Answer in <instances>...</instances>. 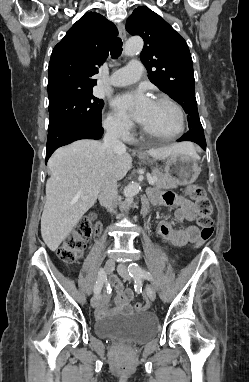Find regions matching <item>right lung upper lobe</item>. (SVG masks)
<instances>
[{
  "label": "right lung upper lobe",
  "instance_id": "right-lung-upper-lobe-1",
  "mask_svg": "<svg viewBox=\"0 0 249 382\" xmlns=\"http://www.w3.org/2000/svg\"><path fill=\"white\" fill-rule=\"evenodd\" d=\"M117 35L116 26L104 16L96 12L82 16L52 51L48 68L49 103L93 92L96 80L92 76L106 60L108 46Z\"/></svg>",
  "mask_w": 249,
  "mask_h": 382
}]
</instances>
